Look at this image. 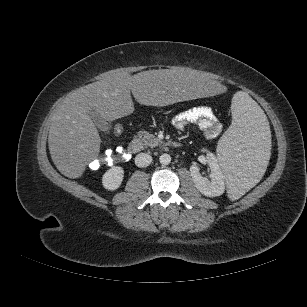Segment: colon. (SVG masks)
<instances>
[{
	"label": "colon",
	"instance_id": "1",
	"mask_svg": "<svg viewBox=\"0 0 307 307\" xmlns=\"http://www.w3.org/2000/svg\"><path fill=\"white\" fill-rule=\"evenodd\" d=\"M124 128L117 124L114 126L113 133L117 136L122 135ZM127 154V147L124 143H120L113 149L106 150L99 154L96 158L90 161L89 166L93 170H97L103 166H114L120 161L124 160Z\"/></svg>",
	"mask_w": 307,
	"mask_h": 307
}]
</instances>
